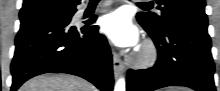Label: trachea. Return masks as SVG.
Returning <instances> with one entry per match:
<instances>
[{"label":"trachea","instance_id":"trachea-1","mask_svg":"<svg viewBox=\"0 0 220 91\" xmlns=\"http://www.w3.org/2000/svg\"><path fill=\"white\" fill-rule=\"evenodd\" d=\"M91 1H95V0H91ZM138 5L141 7H151L150 3H145V2L138 3Z\"/></svg>","mask_w":220,"mask_h":91}]
</instances>
